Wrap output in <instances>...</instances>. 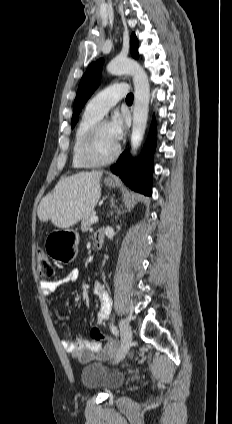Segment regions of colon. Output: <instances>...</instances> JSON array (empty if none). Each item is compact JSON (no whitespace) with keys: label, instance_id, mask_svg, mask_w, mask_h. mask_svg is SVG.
I'll list each match as a JSON object with an SVG mask.
<instances>
[{"label":"colon","instance_id":"obj_1","mask_svg":"<svg viewBox=\"0 0 232 424\" xmlns=\"http://www.w3.org/2000/svg\"><path fill=\"white\" fill-rule=\"evenodd\" d=\"M37 270L42 277H51L54 273L52 264L50 263L46 253L42 249L36 251ZM90 335L94 341H99L100 344L109 345L110 348L116 347V342L112 338L104 336L98 327H92Z\"/></svg>","mask_w":232,"mask_h":424}]
</instances>
